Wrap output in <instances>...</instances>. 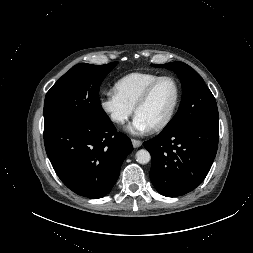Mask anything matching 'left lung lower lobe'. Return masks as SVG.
<instances>
[{
	"label": "left lung lower lobe",
	"mask_w": 253,
	"mask_h": 253,
	"mask_svg": "<svg viewBox=\"0 0 253 253\" xmlns=\"http://www.w3.org/2000/svg\"><path fill=\"white\" fill-rule=\"evenodd\" d=\"M218 138V127L194 125L144 142L152 157L149 175L156 190L176 197L199 186L216 156Z\"/></svg>",
	"instance_id": "1"
}]
</instances>
